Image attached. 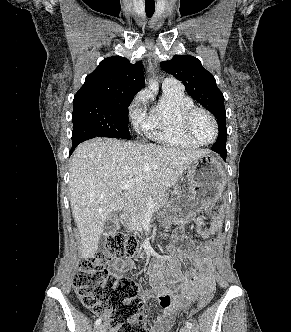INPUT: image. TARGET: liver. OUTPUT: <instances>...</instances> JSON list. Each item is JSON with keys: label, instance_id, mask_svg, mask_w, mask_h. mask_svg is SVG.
<instances>
[{"label": "liver", "instance_id": "6515ba94", "mask_svg": "<svg viewBox=\"0 0 291 332\" xmlns=\"http://www.w3.org/2000/svg\"><path fill=\"white\" fill-rule=\"evenodd\" d=\"M208 150L167 148L132 141L94 138L74 151L69 194L81 239V257L93 258L106 219L123 211L129 218L146 195L173 187L190 164ZM133 181L128 190L121 184ZM122 191L125 195L121 196Z\"/></svg>", "mask_w": 291, "mask_h": 332}]
</instances>
